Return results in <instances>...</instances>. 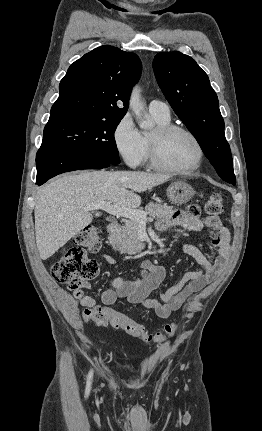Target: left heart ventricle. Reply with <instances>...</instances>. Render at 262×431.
Wrapping results in <instances>:
<instances>
[{"mask_svg":"<svg viewBox=\"0 0 262 431\" xmlns=\"http://www.w3.org/2000/svg\"><path fill=\"white\" fill-rule=\"evenodd\" d=\"M160 153L163 162L174 168L190 169L197 160L195 143L189 136L179 132L163 139Z\"/></svg>","mask_w":262,"mask_h":431,"instance_id":"1","label":"left heart ventricle"}]
</instances>
